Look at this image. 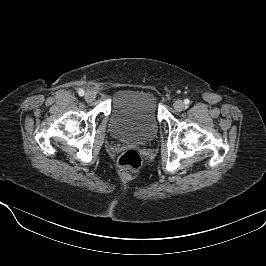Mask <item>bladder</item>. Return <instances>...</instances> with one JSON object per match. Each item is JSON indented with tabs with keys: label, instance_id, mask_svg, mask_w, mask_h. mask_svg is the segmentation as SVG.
Masks as SVG:
<instances>
[{
	"label": "bladder",
	"instance_id": "bladder-1",
	"mask_svg": "<svg viewBox=\"0 0 266 266\" xmlns=\"http://www.w3.org/2000/svg\"><path fill=\"white\" fill-rule=\"evenodd\" d=\"M159 127L158 99L149 90L125 89L113 99L109 130L118 140L145 144Z\"/></svg>",
	"mask_w": 266,
	"mask_h": 266
}]
</instances>
